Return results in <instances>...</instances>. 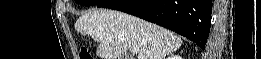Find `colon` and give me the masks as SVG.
Segmentation results:
<instances>
[{
    "mask_svg": "<svg viewBox=\"0 0 261 59\" xmlns=\"http://www.w3.org/2000/svg\"><path fill=\"white\" fill-rule=\"evenodd\" d=\"M80 59H92L91 54L86 49H82L80 52Z\"/></svg>",
    "mask_w": 261,
    "mask_h": 59,
    "instance_id": "1",
    "label": "colon"
}]
</instances>
